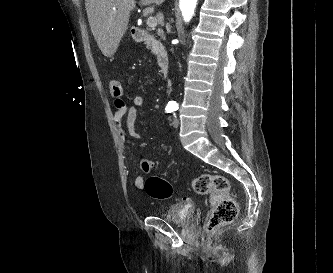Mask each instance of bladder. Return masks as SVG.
<instances>
[{
	"label": "bladder",
	"instance_id": "bladder-1",
	"mask_svg": "<svg viewBox=\"0 0 333 273\" xmlns=\"http://www.w3.org/2000/svg\"><path fill=\"white\" fill-rule=\"evenodd\" d=\"M194 216V207L186 202H176L168 205L163 213V218L175 225L188 224Z\"/></svg>",
	"mask_w": 333,
	"mask_h": 273
}]
</instances>
